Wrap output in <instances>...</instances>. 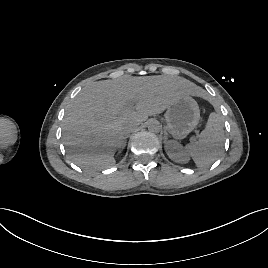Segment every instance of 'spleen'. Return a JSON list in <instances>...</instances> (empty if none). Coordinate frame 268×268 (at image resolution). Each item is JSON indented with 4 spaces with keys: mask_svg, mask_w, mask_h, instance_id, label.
I'll list each match as a JSON object with an SVG mask.
<instances>
[{
    "mask_svg": "<svg viewBox=\"0 0 268 268\" xmlns=\"http://www.w3.org/2000/svg\"><path fill=\"white\" fill-rule=\"evenodd\" d=\"M224 141L222 119L216 112L209 115L206 127L198 141L186 145L185 149L199 168L211 165L217 158Z\"/></svg>",
    "mask_w": 268,
    "mask_h": 268,
    "instance_id": "spleen-1",
    "label": "spleen"
}]
</instances>
